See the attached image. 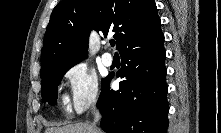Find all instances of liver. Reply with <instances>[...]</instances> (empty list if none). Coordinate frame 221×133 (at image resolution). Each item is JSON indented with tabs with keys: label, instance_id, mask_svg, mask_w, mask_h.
Returning <instances> with one entry per match:
<instances>
[{
	"label": "liver",
	"instance_id": "liver-1",
	"mask_svg": "<svg viewBox=\"0 0 221 133\" xmlns=\"http://www.w3.org/2000/svg\"><path fill=\"white\" fill-rule=\"evenodd\" d=\"M45 133H100V131L87 123H75L63 127L47 128Z\"/></svg>",
	"mask_w": 221,
	"mask_h": 133
}]
</instances>
